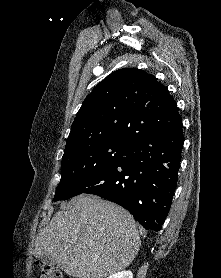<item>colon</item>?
I'll return each mask as SVG.
<instances>
[{"label": "colon", "mask_w": 221, "mask_h": 278, "mask_svg": "<svg viewBox=\"0 0 221 278\" xmlns=\"http://www.w3.org/2000/svg\"><path fill=\"white\" fill-rule=\"evenodd\" d=\"M41 278H64L62 272L52 266L39 265Z\"/></svg>", "instance_id": "colon-1"}]
</instances>
